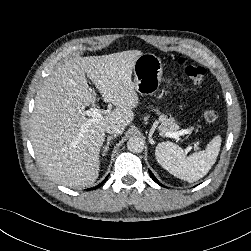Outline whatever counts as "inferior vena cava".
I'll list each match as a JSON object with an SVG mask.
<instances>
[{
    "label": "inferior vena cava",
    "instance_id": "602c4592",
    "mask_svg": "<svg viewBox=\"0 0 251 251\" xmlns=\"http://www.w3.org/2000/svg\"><path fill=\"white\" fill-rule=\"evenodd\" d=\"M105 131L110 133V134H122L124 131V127L120 126V125H115V124H111L106 126Z\"/></svg>",
    "mask_w": 251,
    "mask_h": 251
}]
</instances>
